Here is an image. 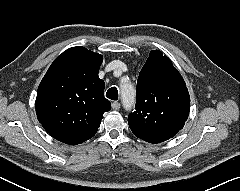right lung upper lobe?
<instances>
[{
  "instance_id": "cb5924a9",
  "label": "right lung upper lobe",
  "mask_w": 240,
  "mask_h": 191,
  "mask_svg": "<svg viewBox=\"0 0 240 191\" xmlns=\"http://www.w3.org/2000/svg\"><path fill=\"white\" fill-rule=\"evenodd\" d=\"M103 57L84 47H72L49 67L37 91L36 114L55 139L77 145L93 137L103 114L111 109L98 76Z\"/></svg>"
}]
</instances>
